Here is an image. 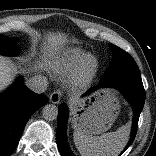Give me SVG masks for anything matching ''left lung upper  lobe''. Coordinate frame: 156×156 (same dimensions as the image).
I'll list each match as a JSON object with an SVG mask.
<instances>
[{"label":"left lung upper lobe","mask_w":156,"mask_h":156,"mask_svg":"<svg viewBox=\"0 0 156 156\" xmlns=\"http://www.w3.org/2000/svg\"><path fill=\"white\" fill-rule=\"evenodd\" d=\"M112 50V61L101 80L110 79H141L138 66L134 59L119 47L109 44Z\"/></svg>","instance_id":"1"}]
</instances>
